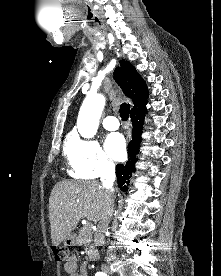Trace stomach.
<instances>
[{
  "mask_svg": "<svg viewBox=\"0 0 221 276\" xmlns=\"http://www.w3.org/2000/svg\"><path fill=\"white\" fill-rule=\"evenodd\" d=\"M77 243L76 240V235L71 233L69 234L64 240H63V244L67 245V246H75Z\"/></svg>",
  "mask_w": 221,
  "mask_h": 276,
  "instance_id": "1",
  "label": "stomach"
}]
</instances>
